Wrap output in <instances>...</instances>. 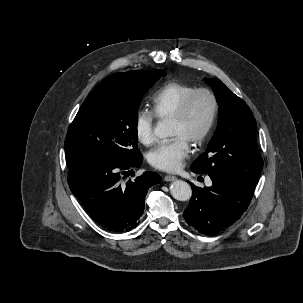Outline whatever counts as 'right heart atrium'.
Returning a JSON list of instances; mask_svg holds the SVG:
<instances>
[{
    "mask_svg": "<svg viewBox=\"0 0 303 303\" xmlns=\"http://www.w3.org/2000/svg\"><path fill=\"white\" fill-rule=\"evenodd\" d=\"M134 130L142 144L151 145L155 140L153 115L145 111L138 112L134 120Z\"/></svg>",
    "mask_w": 303,
    "mask_h": 303,
    "instance_id": "d8ad5b80",
    "label": "right heart atrium"
}]
</instances>
